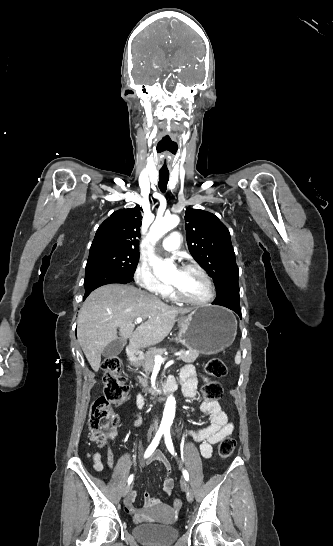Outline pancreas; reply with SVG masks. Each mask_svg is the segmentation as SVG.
I'll use <instances>...</instances> for the list:
<instances>
[{
	"label": "pancreas",
	"mask_w": 333,
	"mask_h": 546,
	"mask_svg": "<svg viewBox=\"0 0 333 546\" xmlns=\"http://www.w3.org/2000/svg\"><path fill=\"white\" fill-rule=\"evenodd\" d=\"M164 352V348H151L146 352L144 358L141 360L140 364L143 367L145 374H142L143 377L138 376V379L144 388L147 386V379L149 377V374L153 371L155 356H162ZM198 355V352L190 351L188 354L183 353L178 357V359L186 363H193Z\"/></svg>",
	"instance_id": "obj_1"
}]
</instances>
